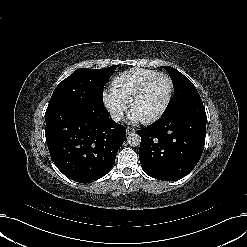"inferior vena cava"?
<instances>
[{
  "label": "inferior vena cava",
  "mask_w": 247,
  "mask_h": 247,
  "mask_svg": "<svg viewBox=\"0 0 247 247\" xmlns=\"http://www.w3.org/2000/svg\"><path fill=\"white\" fill-rule=\"evenodd\" d=\"M123 116L124 114L121 110L118 109L110 110V118L115 122L121 121L123 119Z\"/></svg>",
  "instance_id": "1"
}]
</instances>
